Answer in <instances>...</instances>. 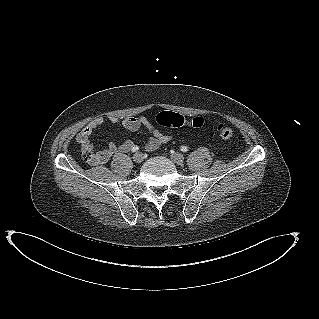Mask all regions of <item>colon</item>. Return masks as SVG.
Listing matches in <instances>:
<instances>
[{"mask_svg":"<svg viewBox=\"0 0 319 319\" xmlns=\"http://www.w3.org/2000/svg\"><path fill=\"white\" fill-rule=\"evenodd\" d=\"M156 120L161 126L172 128L181 127L186 123L184 116L172 111L160 112L157 115ZM205 123L206 121L203 117H195L188 122V124L194 128H200L204 126ZM216 129L220 137L224 140L232 141L236 137L233 129L223 123H216ZM83 156L86 161H90L92 159V155L90 153H83Z\"/></svg>","mask_w":319,"mask_h":319,"instance_id":"1","label":"colon"}]
</instances>
